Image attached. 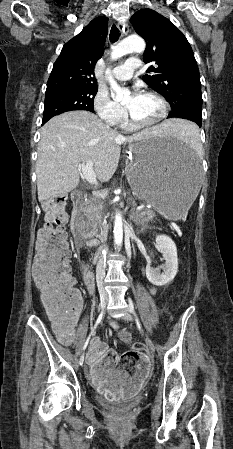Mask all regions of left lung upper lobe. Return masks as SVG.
Instances as JSON below:
<instances>
[{
	"instance_id": "obj_1",
	"label": "left lung upper lobe",
	"mask_w": 233,
	"mask_h": 449,
	"mask_svg": "<svg viewBox=\"0 0 233 449\" xmlns=\"http://www.w3.org/2000/svg\"><path fill=\"white\" fill-rule=\"evenodd\" d=\"M146 41L144 62H155L143 81L170 103V115L201 120L202 93L199 69L183 33L167 18L151 9L137 11L130 19Z\"/></svg>"
}]
</instances>
